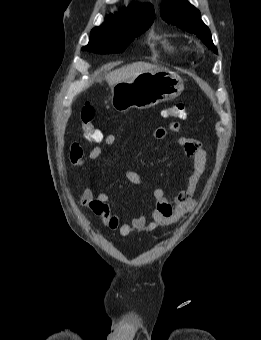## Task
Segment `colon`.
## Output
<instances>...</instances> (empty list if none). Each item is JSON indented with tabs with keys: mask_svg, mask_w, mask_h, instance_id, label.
<instances>
[{
	"mask_svg": "<svg viewBox=\"0 0 261 340\" xmlns=\"http://www.w3.org/2000/svg\"><path fill=\"white\" fill-rule=\"evenodd\" d=\"M95 108L90 103H85L80 110V121L84 130L86 138L91 142H101L103 140V133L94 126ZM166 117H174L184 119L186 118V108L182 103L175 104L168 107L164 111Z\"/></svg>",
	"mask_w": 261,
	"mask_h": 340,
	"instance_id": "5ec220e1",
	"label": "colon"
}]
</instances>
